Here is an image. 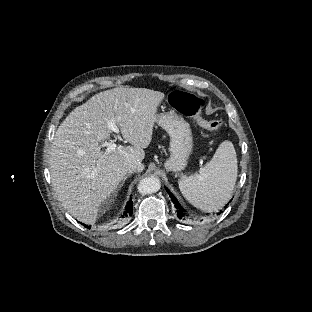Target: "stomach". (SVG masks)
I'll return each instance as SVG.
<instances>
[{
  "label": "stomach",
  "mask_w": 312,
  "mask_h": 312,
  "mask_svg": "<svg viewBox=\"0 0 312 312\" xmlns=\"http://www.w3.org/2000/svg\"><path fill=\"white\" fill-rule=\"evenodd\" d=\"M157 123L170 136V157L164 166L169 171L179 172L186 167L193 148L190 125L174 111L159 114Z\"/></svg>",
  "instance_id": "obj_1"
}]
</instances>
